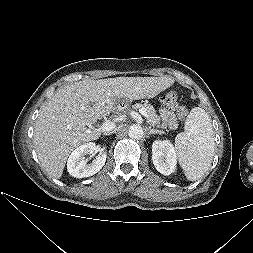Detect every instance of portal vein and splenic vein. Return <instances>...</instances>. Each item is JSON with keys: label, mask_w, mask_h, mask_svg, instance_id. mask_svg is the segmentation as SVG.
Returning a JSON list of instances; mask_svg holds the SVG:
<instances>
[{"label": "portal vein and splenic vein", "mask_w": 253, "mask_h": 253, "mask_svg": "<svg viewBox=\"0 0 253 253\" xmlns=\"http://www.w3.org/2000/svg\"><path fill=\"white\" fill-rule=\"evenodd\" d=\"M139 112L141 113V115H143L144 117L147 116V112L143 109H140ZM115 128V123L114 122H110V121H107V122H104L102 123V125L100 126V130L102 131H111L112 129Z\"/></svg>", "instance_id": "1"}]
</instances>
